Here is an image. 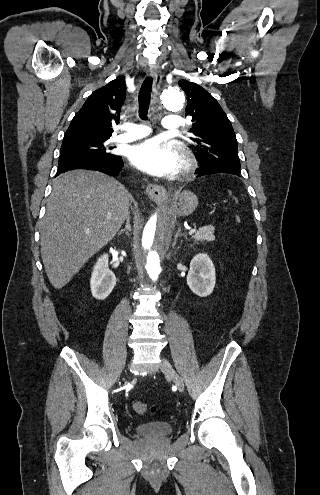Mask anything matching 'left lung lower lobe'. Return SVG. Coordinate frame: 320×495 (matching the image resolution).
I'll return each instance as SVG.
<instances>
[{
    "label": "left lung lower lobe",
    "instance_id": "0a47b994",
    "mask_svg": "<svg viewBox=\"0 0 320 495\" xmlns=\"http://www.w3.org/2000/svg\"><path fill=\"white\" fill-rule=\"evenodd\" d=\"M200 162V168H198L195 172V174L199 176H204V175H210V174H215V173H229V174H234L237 176H240L241 171L240 170H235L227 167H212V166H205L201 161Z\"/></svg>",
    "mask_w": 320,
    "mask_h": 495
}]
</instances>
